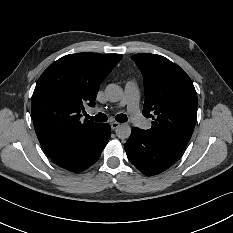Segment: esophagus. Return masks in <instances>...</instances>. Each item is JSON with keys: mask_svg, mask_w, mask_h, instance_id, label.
Returning <instances> with one entry per match:
<instances>
[{"mask_svg": "<svg viewBox=\"0 0 233 233\" xmlns=\"http://www.w3.org/2000/svg\"><path fill=\"white\" fill-rule=\"evenodd\" d=\"M110 125H111V128L113 130H116L120 126V123L119 122H111Z\"/></svg>", "mask_w": 233, "mask_h": 233, "instance_id": "1", "label": "esophagus"}]
</instances>
